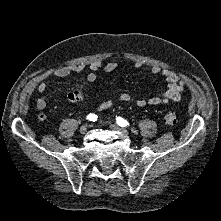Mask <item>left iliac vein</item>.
<instances>
[{
  "label": "left iliac vein",
  "instance_id": "obj_1",
  "mask_svg": "<svg viewBox=\"0 0 221 221\" xmlns=\"http://www.w3.org/2000/svg\"><path fill=\"white\" fill-rule=\"evenodd\" d=\"M110 129L113 130V131H119V132H121L124 135H128L129 134L128 130H126L125 128L120 127L119 125H116V124L110 125Z\"/></svg>",
  "mask_w": 221,
  "mask_h": 221
}]
</instances>
